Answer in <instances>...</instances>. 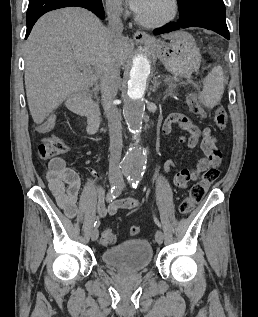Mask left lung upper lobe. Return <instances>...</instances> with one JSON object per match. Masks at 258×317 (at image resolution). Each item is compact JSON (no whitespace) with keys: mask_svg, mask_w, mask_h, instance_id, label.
<instances>
[{"mask_svg":"<svg viewBox=\"0 0 258 317\" xmlns=\"http://www.w3.org/2000/svg\"><path fill=\"white\" fill-rule=\"evenodd\" d=\"M179 4L180 17L186 16L190 11L192 6L199 0H177Z\"/></svg>","mask_w":258,"mask_h":317,"instance_id":"5c2ea615","label":"left lung upper lobe"}]
</instances>
